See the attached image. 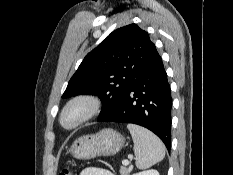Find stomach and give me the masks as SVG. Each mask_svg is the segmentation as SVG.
Returning a JSON list of instances; mask_svg holds the SVG:
<instances>
[{
	"label": "stomach",
	"mask_w": 233,
	"mask_h": 175,
	"mask_svg": "<svg viewBox=\"0 0 233 175\" xmlns=\"http://www.w3.org/2000/svg\"><path fill=\"white\" fill-rule=\"evenodd\" d=\"M124 137L113 129H103L92 135L75 140L69 150L72 156L80 160H88L97 156H111L124 146Z\"/></svg>",
	"instance_id": "0dacf381"
}]
</instances>
